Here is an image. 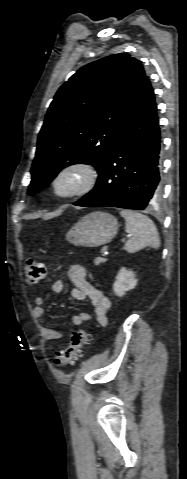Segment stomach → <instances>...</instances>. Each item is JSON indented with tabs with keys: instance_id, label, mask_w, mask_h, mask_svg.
<instances>
[{
	"instance_id": "obj_1",
	"label": "stomach",
	"mask_w": 187,
	"mask_h": 479,
	"mask_svg": "<svg viewBox=\"0 0 187 479\" xmlns=\"http://www.w3.org/2000/svg\"><path fill=\"white\" fill-rule=\"evenodd\" d=\"M118 231L117 219L105 212H93L82 217L66 234L74 244L97 247L110 242Z\"/></svg>"
}]
</instances>
